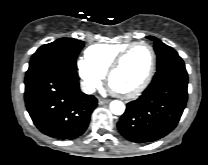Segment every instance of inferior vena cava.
I'll list each match as a JSON object with an SVG mask.
<instances>
[{
  "label": "inferior vena cava",
  "mask_w": 208,
  "mask_h": 165,
  "mask_svg": "<svg viewBox=\"0 0 208 165\" xmlns=\"http://www.w3.org/2000/svg\"><path fill=\"white\" fill-rule=\"evenodd\" d=\"M81 89L84 93H94L95 92V86L93 83H90V82H83L81 84Z\"/></svg>",
  "instance_id": "602c4592"
}]
</instances>
